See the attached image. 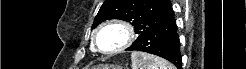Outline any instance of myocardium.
Masks as SVG:
<instances>
[{
  "label": "myocardium",
  "instance_id": "f54148a6",
  "mask_svg": "<svg viewBox=\"0 0 246 69\" xmlns=\"http://www.w3.org/2000/svg\"><path fill=\"white\" fill-rule=\"evenodd\" d=\"M108 27L120 28L124 32L125 38L122 41V43L120 45H118L116 48H114L113 50L102 51L100 49L99 44H98V35L102 30H104ZM133 39H134V30H133V27L131 26L130 23H128L127 21L122 20V19H111V20H108V21L102 23L95 30L94 35H93V44L95 45V47L99 50V52L101 54H113V53H116V52H119V51H122V50L128 48L131 45V43L133 42Z\"/></svg>",
  "mask_w": 246,
  "mask_h": 69
}]
</instances>
